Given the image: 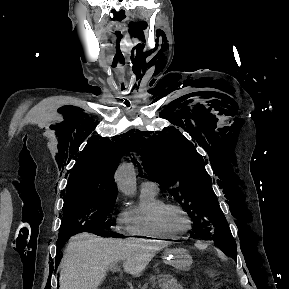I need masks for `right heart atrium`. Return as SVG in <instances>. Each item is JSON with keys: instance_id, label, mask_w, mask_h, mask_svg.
<instances>
[{"instance_id": "d8ad5b80", "label": "right heart atrium", "mask_w": 289, "mask_h": 289, "mask_svg": "<svg viewBox=\"0 0 289 289\" xmlns=\"http://www.w3.org/2000/svg\"><path fill=\"white\" fill-rule=\"evenodd\" d=\"M115 229H117V230H118V229H120V228H119L118 226H116V227H115Z\"/></svg>"}]
</instances>
